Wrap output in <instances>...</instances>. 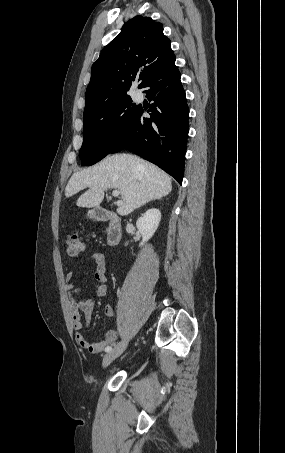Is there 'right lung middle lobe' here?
Returning <instances> with one entry per match:
<instances>
[{
  "mask_svg": "<svg viewBox=\"0 0 285 453\" xmlns=\"http://www.w3.org/2000/svg\"><path fill=\"white\" fill-rule=\"evenodd\" d=\"M138 108L124 95L83 114V144L79 153L83 165H93L111 152Z\"/></svg>",
  "mask_w": 285,
  "mask_h": 453,
  "instance_id": "obj_1",
  "label": "right lung middle lobe"
}]
</instances>
